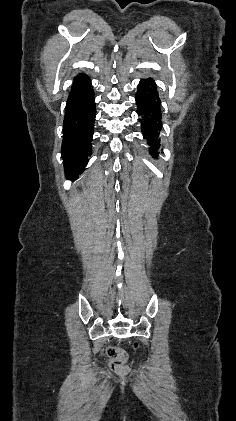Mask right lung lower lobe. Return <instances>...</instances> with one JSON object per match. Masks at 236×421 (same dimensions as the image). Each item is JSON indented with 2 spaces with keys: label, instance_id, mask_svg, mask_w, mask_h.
Listing matches in <instances>:
<instances>
[{
  "label": "right lung lower lobe",
  "instance_id": "98d812e1",
  "mask_svg": "<svg viewBox=\"0 0 236 421\" xmlns=\"http://www.w3.org/2000/svg\"><path fill=\"white\" fill-rule=\"evenodd\" d=\"M94 121V91L88 76L81 73L71 86L63 122L62 158L70 180L78 178L89 161Z\"/></svg>",
  "mask_w": 236,
  "mask_h": 421
}]
</instances>
